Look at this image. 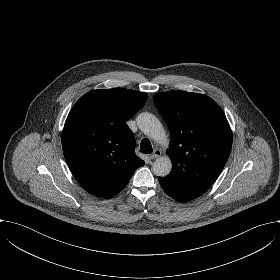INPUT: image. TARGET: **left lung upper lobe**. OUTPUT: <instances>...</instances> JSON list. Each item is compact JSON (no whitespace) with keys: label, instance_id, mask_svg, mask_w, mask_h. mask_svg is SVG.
Wrapping results in <instances>:
<instances>
[{"label":"left lung upper lobe","instance_id":"left-lung-upper-lobe-1","mask_svg":"<svg viewBox=\"0 0 280 280\" xmlns=\"http://www.w3.org/2000/svg\"><path fill=\"white\" fill-rule=\"evenodd\" d=\"M154 103L170 131L172 170L160 183L171 193L200 196L214 184L227 162L232 132L226 116L210 97L185 91L157 93Z\"/></svg>","mask_w":280,"mask_h":280}]
</instances>
